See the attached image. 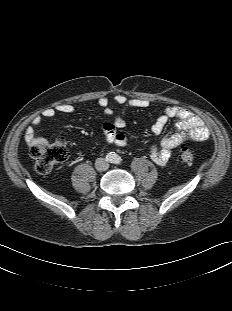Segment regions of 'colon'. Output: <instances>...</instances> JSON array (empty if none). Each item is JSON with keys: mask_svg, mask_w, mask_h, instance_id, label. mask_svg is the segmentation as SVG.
<instances>
[{"mask_svg": "<svg viewBox=\"0 0 232 311\" xmlns=\"http://www.w3.org/2000/svg\"><path fill=\"white\" fill-rule=\"evenodd\" d=\"M180 159L183 163L191 165L194 161V154L187 146H181L179 150ZM30 156L34 161V169L38 173H47L53 166L65 161L68 157V149L65 142L38 143L31 147Z\"/></svg>", "mask_w": 232, "mask_h": 311, "instance_id": "1", "label": "colon"}]
</instances>
